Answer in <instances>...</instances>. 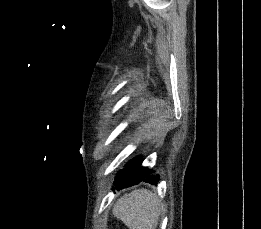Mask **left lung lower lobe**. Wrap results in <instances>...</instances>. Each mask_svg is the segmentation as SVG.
Wrapping results in <instances>:
<instances>
[{
	"mask_svg": "<svg viewBox=\"0 0 261 229\" xmlns=\"http://www.w3.org/2000/svg\"><path fill=\"white\" fill-rule=\"evenodd\" d=\"M141 161L142 159L137 157L128 162L125 166L126 168L122 169L117 174L114 186L117 188L130 187L140 182V179H138L139 177H146L147 175L154 172L148 168L141 167ZM142 180L144 182L156 184V182L159 180V175L147 176Z\"/></svg>",
	"mask_w": 261,
	"mask_h": 229,
	"instance_id": "1",
	"label": "left lung lower lobe"
}]
</instances>
